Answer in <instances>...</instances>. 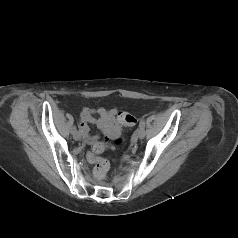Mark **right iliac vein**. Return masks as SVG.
I'll use <instances>...</instances> for the list:
<instances>
[{"label": "right iliac vein", "mask_w": 238, "mask_h": 238, "mask_svg": "<svg viewBox=\"0 0 238 238\" xmlns=\"http://www.w3.org/2000/svg\"><path fill=\"white\" fill-rule=\"evenodd\" d=\"M73 138L76 141H79L81 139V133L79 131H76L75 133H73Z\"/></svg>", "instance_id": "1"}]
</instances>
